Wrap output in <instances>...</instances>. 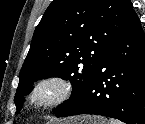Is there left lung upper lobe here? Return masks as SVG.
Segmentation results:
<instances>
[{
	"instance_id": "left-lung-upper-lobe-1",
	"label": "left lung upper lobe",
	"mask_w": 145,
	"mask_h": 124,
	"mask_svg": "<svg viewBox=\"0 0 145 124\" xmlns=\"http://www.w3.org/2000/svg\"><path fill=\"white\" fill-rule=\"evenodd\" d=\"M133 13L130 0H53L35 29L20 71L17 110L32 84L48 77H61L73 85L70 99L56 112L75 100Z\"/></svg>"
}]
</instances>
